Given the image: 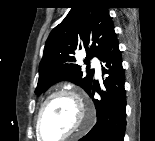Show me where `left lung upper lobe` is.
Returning <instances> with one entry per match:
<instances>
[{"label":"left lung upper lobe","instance_id":"left-lung-upper-lobe-1","mask_svg":"<svg viewBox=\"0 0 155 141\" xmlns=\"http://www.w3.org/2000/svg\"><path fill=\"white\" fill-rule=\"evenodd\" d=\"M72 5L68 15L51 31L46 41L35 90L38 95L62 79L74 82L88 93L92 87L94 71H89L83 77L74 55L78 50L86 49L87 58H100L115 35L104 0H74ZM118 103L117 99L112 102L114 110Z\"/></svg>","mask_w":155,"mask_h":141}]
</instances>
